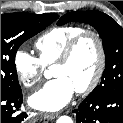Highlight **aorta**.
Here are the masks:
<instances>
[{"instance_id":"1","label":"aorta","mask_w":123,"mask_h":123,"mask_svg":"<svg viewBox=\"0 0 123 123\" xmlns=\"http://www.w3.org/2000/svg\"><path fill=\"white\" fill-rule=\"evenodd\" d=\"M44 75H45L46 78H49V77H50V76H49L50 74H49L48 71H46V72L44 73ZM56 123H73V121H72V119H71L69 116H60V117L57 119Z\"/></svg>"}]
</instances>
